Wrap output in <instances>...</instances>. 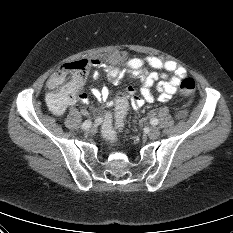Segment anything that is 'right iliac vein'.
Instances as JSON below:
<instances>
[{
	"mask_svg": "<svg viewBox=\"0 0 233 233\" xmlns=\"http://www.w3.org/2000/svg\"><path fill=\"white\" fill-rule=\"evenodd\" d=\"M95 134V129L94 128H89V129H84L83 130V135L84 136H89V135H94Z\"/></svg>",
	"mask_w": 233,
	"mask_h": 233,
	"instance_id": "1",
	"label": "right iliac vein"
}]
</instances>
